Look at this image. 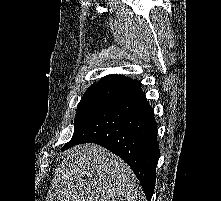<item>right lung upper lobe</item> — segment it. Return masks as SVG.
I'll list each match as a JSON object with an SVG mask.
<instances>
[{
	"label": "right lung upper lobe",
	"mask_w": 221,
	"mask_h": 201,
	"mask_svg": "<svg viewBox=\"0 0 221 201\" xmlns=\"http://www.w3.org/2000/svg\"><path fill=\"white\" fill-rule=\"evenodd\" d=\"M133 81L134 80L125 77L123 75H109L102 78L99 82L91 85L90 88L103 87V88H114L118 90Z\"/></svg>",
	"instance_id": "cb5924a9"
}]
</instances>
